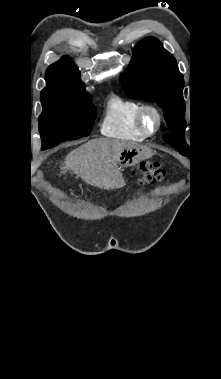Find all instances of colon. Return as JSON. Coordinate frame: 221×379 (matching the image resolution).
Returning <instances> with one entry per match:
<instances>
[{
	"instance_id": "colon-1",
	"label": "colon",
	"mask_w": 221,
	"mask_h": 379,
	"mask_svg": "<svg viewBox=\"0 0 221 379\" xmlns=\"http://www.w3.org/2000/svg\"><path fill=\"white\" fill-rule=\"evenodd\" d=\"M134 174L139 184H153L161 181L166 172L158 163H141Z\"/></svg>"
}]
</instances>
